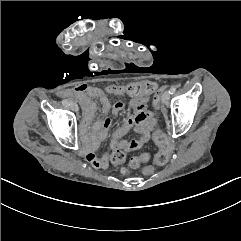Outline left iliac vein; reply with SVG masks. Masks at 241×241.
Returning a JSON list of instances; mask_svg holds the SVG:
<instances>
[{
  "label": "left iliac vein",
  "instance_id": "obj_1",
  "mask_svg": "<svg viewBox=\"0 0 241 241\" xmlns=\"http://www.w3.org/2000/svg\"><path fill=\"white\" fill-rule=\"evenodd\" d=\"M170 99V94L168 92H164L162 95V102L167 104Z\"/></svg>",
  "mask_w": 241,
  "mask_h": 241
}]
</instances>
